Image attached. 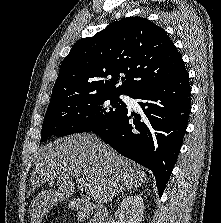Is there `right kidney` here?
I'll return each instance as SVG.
<instances>
[{"instance_id":"ca27d5eb","label":"right kidney","mask_w":221,"mask_h":223,"mask_svg":"<svg viewBox=\"0 0 221 223\" xmlns=\"http://www.w3.org/2000/svg\"><path fill=\"white\" fill-rule=\"evenodd\" d=\"M144 203L140 195H129L122 200L116 218L119 223H140L143 218Z\"/></svg>"}]
</instances>
